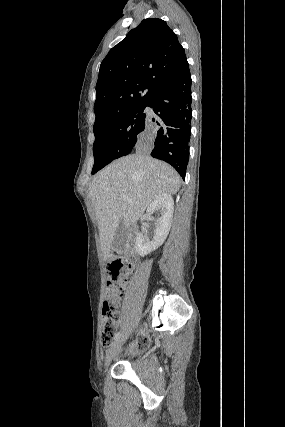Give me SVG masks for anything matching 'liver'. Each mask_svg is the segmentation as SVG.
I'll list each match as a JSON object with an SVG mask.
<instances>
[{"mask_svg": "<svg viewBox=\"0 0 285 427\" xmlns=\"http://www.w3.org/2000/svg\"><path fill=\"white\" fill-rule=\"evenodd\" d=\"M180 185L181 178L170 165L143 152L119 158L101 170L89 186V195L104 259L121 222L126 227L135 224L154 199L177 193Z\"/></svg>", "mask_w": 285, "mask_h": 427, "instance_id": "liver-1", "label": "liver"}]
</instances>
